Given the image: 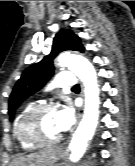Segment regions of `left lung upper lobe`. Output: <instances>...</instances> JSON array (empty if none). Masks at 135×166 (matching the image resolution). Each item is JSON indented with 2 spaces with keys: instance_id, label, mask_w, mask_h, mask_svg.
I'll return each mask as SVG.
<instances>
[{
  "instance_id": "left-lung-upper-lobe-1",
  "label": "left lung upper lobe",
  "mask_w": 135,
  "mask_h": 166,
  "mask_svg": "<svg viewBox=\"0 0 135 166\" xmlns=\"http://www.w3.org/2000/svg\"><path fill=\"white\" fill-rule=\"evenodd\" d=\"M84 51L80 38L69 29L60 30L53 39L51 53L40 62L28 67L17 81L9 100L10 120L18 106L28 96L40 90L52 77L54 72L53 59L62 51Z\"/></svg>"
}]
</instances>
